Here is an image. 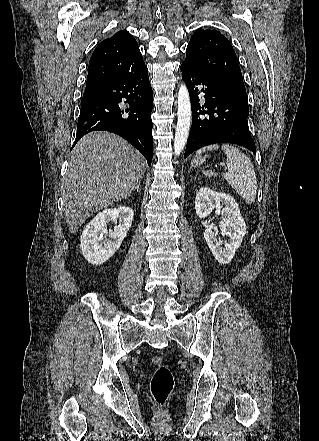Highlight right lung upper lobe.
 <instances>
[{"instance_id": "right-lung-upper-lobe-1", "label": "right lung upper lobe", "mask_w": 319, "mask_h": 441, "mask_svg": "<svg viewBox=\"0 0 319 441\" xmlns=\"http://www.w3.org/2000/svg\"><path fill=\"white\" fill-rule=\"evenodd\" d=\"M143 67L145 63L136 40L128 31H119L95 48L83 96Z\"/></svg>"}]
</instances>
